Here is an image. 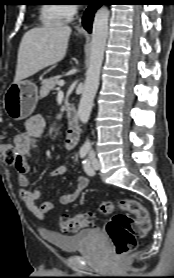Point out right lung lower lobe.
<instances>
[{
    "instance_id": "obj_1",
    "label": "right lung lower lobe",
    "mask_w": 174,
    "mask_h": 278,
    "mask_svg": "<svg viewBox=\"0 0 174 278\" xmlns=\"http://www.w3.org/2000/svg\"><path fill=\"white\" fill-rule=\"evenodd\" d=\"M101 2H102L101 0H93L92 3L89 4V7L84 13L82 24L88 32H91L94 13L102 4Z\"/></svg>"
}]
</instances>
